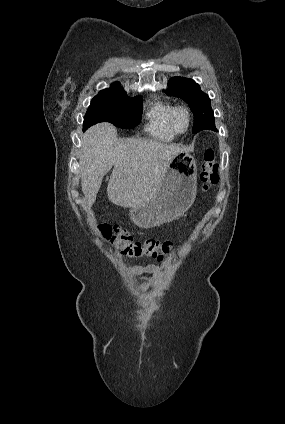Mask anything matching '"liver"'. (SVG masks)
Wrapping results in <instances>:
<instances>
[{"label": "liver", "mask_w": 285, "mask_h": 424, "mask_svg": "<svg viewBox=\"0 0 285 424\" xmlns=\"http://www.w3.org/2000/svg\"><path fill=\"white\" fill-rule=\"evenodd\" d=\"M185 148L151 139H118L116 128L100 123L81 138L80 171L84 205L94 203L103 177L114 166L107 195L115 205L135 207L153 198L170 161Z\"/></svg>", "instance_id": "1"}]
</instances>
